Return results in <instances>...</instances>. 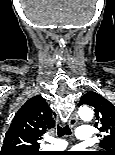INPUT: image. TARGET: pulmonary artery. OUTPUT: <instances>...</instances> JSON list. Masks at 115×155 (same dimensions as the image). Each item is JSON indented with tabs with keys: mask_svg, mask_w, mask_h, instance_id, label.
<instances>
[{
	"mask_svg": "<svg viewBox=\"0 0 115 155\" xmlns=\"http://www.w3.org/2000/svg\"><path fill=\"white\" fill-rule=\"evenodd\" d=\"M92 134V128L88 126H80L75 132L76 138L83 142L91 141ZM54 144L55 145L51 147V149L53 150H62L67 146V142H65L64 140H55Z\"/></svg>",
	"mask_w": 115,
	"mask_h": 155,
	"instance_id": "1",
	"label": "pulmonary artery"
}]
</instances>
